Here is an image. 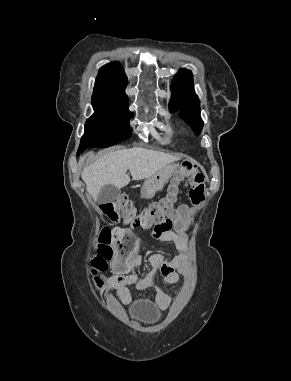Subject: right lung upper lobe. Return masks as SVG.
<instances>
[{"label":"right lung upper lobe","mask_w":291,"mask_h":381,"mask_svg":"<svg viewBox=\"0 0 291 381\" xmlns=\"http://www.w3.org/2000/svg\"><path fill=\"white\" fill-rule=\"evenodd\" d=\"M126 85L127 78L121 65L119 63L107 64L99 71L92 98L128 104L124 92Z\"/></svg>","instance_id":"right-lung-upper-lobe-1"}]
</instances>
